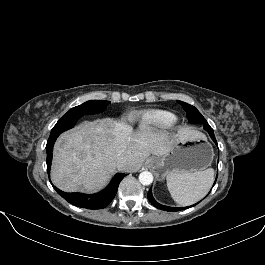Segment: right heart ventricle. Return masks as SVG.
Wrapping results in <instances>:
<instances>
[{
  "instance_id": "1",
  "label": "right heart ventricle",
  "mask_w": 265,
  "mask_h": 265,
  "mask_svg": "<svg viewBox=\"0 0 265 265\" xmlns=\"http://www.w3.org/2000/svg\"><path fill=\"white\" fill-rule=\"evenodd\" d=\"M177 117L170 111L155 109L141 113L137 118L139 129L143 133H152L174 125Z\"/></svg>"
}]
</instances>
